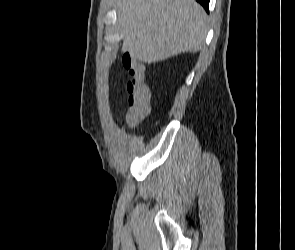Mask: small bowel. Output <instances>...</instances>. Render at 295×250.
I'll use <instances>...</instances> for the list:
<instances>
[{
    "label": "small bowel",
    "mask_w": 295,
    "mask_h": 250,
    "mask_svg": "<svg viewBox=\"0 0 295 250\" xmlns=\"http://www.w3.org/2000/svg\"><path fill=\"white\" fill-rule=\"evenodd\" d=\"M122 62L132 77L146 78L145 66L139 63L133 56L129 54L124 55Z\"/></svg>",
    "instance_id": "obj_1"
}]
</instances>
